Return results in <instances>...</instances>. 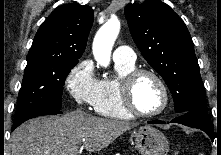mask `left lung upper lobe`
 <instances>
[{
    "label": "left lung upper lobe",
    "instance_id": "obj_1",
    "mask_svg": "<svg viewBox=\"0 0 221 155\" xmlns=\"http://www.w3.org/2000/svg\"><path fill=\"white\" fill-rule=\"evenodd\" d=\"M125 16L141 54L172 92L175 111L207 110L194 44L183 20L159 0L128 4Z\"/></svg>",
    "mask_w": 221,
    "mask_h": 155
}]
</instances>
